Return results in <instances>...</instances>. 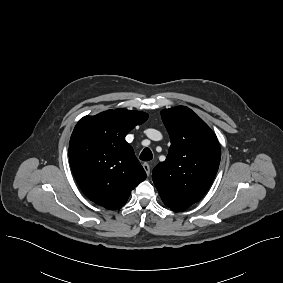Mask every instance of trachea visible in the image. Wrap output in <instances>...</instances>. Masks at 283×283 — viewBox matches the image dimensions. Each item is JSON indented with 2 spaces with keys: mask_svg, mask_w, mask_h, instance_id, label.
<instances>
[{
  "mask_svg": "<svg viewBox=\"0 0 283 283\" xmlns=\"http://www.w3.org/2000/svg\"><path fill=\"white\" fill-rule=\"evenodd\" d=\"M152 158H153V154L149 148H145L140 154V159L142 161H149Z\"/></svg>",
  "mask_w": 283,
  "mask_h": 283,
  "instance_id": "3493384b",
  "label": "trachea"
}]
</instances>
